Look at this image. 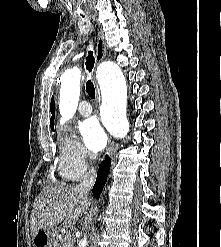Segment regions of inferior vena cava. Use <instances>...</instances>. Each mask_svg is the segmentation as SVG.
Segmentation results:
<instances>
[{
	"instance_id": "602c4592",
	"label": "inferior vena cava",
	"mask_w": 221,
	"mask_h": 247,
	"mask_svg": "<svg viewBox=\"0 0 221 247\" xmlns=\"http://www.w3.org/2000/svg\"><path fill=\"white\" fill-rule=\"evenodd\" d=\"M90 158H93V155L90 154ZM96 180V170L92 167L89 171L84 175L82 181L77 186L78 190L83 194L87 195L92 186L94 185Z\"/></svg>"
}]
</instances>
